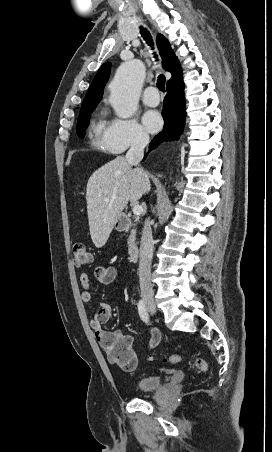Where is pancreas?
<instances>
[{"label":"pancreas","mask_w":272,"mask_h":452,"mask_svg":"<svg viewBox=\"0 0 272 452\" xmlns=\"http://www.w3.org/2000/svg\"><path fill=\"white\" fill-rule=\"evenodd\" d=\"M137 221V220H136ZM135 226V224H133ZM136 231L133 230L131 236L128 239V243L131 244L135 240Z\"/></svg>","instance_id":"obj_1"}]
</instances>
